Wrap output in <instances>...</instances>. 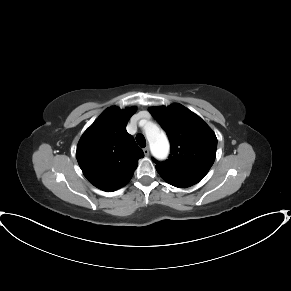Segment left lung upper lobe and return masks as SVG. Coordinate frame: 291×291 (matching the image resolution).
Listing matches in <instances>:
<instances>
[{
  "label": "left lung upper lobe",
  "mask_w": 291,
  "mask_h": 291,
  "mask_svg": "<svg viewBox=\"0 0 291 291\" xmlns=\"http://www.w3.org/2000/svg\"><path fill=\"white\" fill-rule=\"evenodd\" d=\"M149 111L167 133L171 154L164 163L153 160L169 184L186 188L198 183L215 160L217 138L195 113L180 104L151 107Z\"/></svg>",
  "instance_id": "5c2ea615"
}]
</instances>
